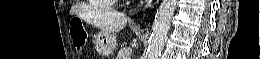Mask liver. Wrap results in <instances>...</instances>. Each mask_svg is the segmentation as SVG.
Segmentation results:
<instances>
[{"mask_svg": "<svg viewBox=\"0 0 261 59\" xmlns=\"http://www.w3.org/2000/svg\"><path fill=\"white\" fill-rule=\"evenodd\" d=\"M128 18L120 12L105 11L91 16L88 21L103 33L115 34L126 27Z\"/></svg>", "mask_w": 261, "mask_h": 59, "instance_id": "obj_1", "label": "liver"}]
</instances>
